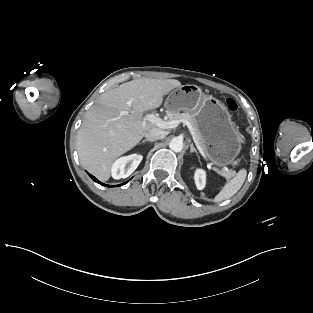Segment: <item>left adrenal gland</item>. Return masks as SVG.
Returning a JSON list of instances; mask_svg holds the SVG:
<instances>
[{"label": "left adrenal gland", "mask_w": 313, "mask_h": 313, "mask_svg": "<svg viewBox=\"0 0 313 313\" xmlns=\"http://www.w3.org/2000/svg\"><path fill=\"white\" fill-rule=\"evenodd\" d=\"M190 152L193 153L195 152L196 154H198L197 150L195 149L193 143L190 144Z\"/></svg>", "instance_id": "left-adrenal-gland-1"}]
</instances>
